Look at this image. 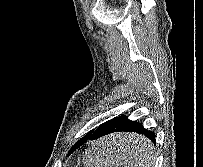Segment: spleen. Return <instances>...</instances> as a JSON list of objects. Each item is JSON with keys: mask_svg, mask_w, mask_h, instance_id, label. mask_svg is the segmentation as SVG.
<instances>
[{"mask_svg": "<svg viewBox=\"0 0 203 167\" xmlns=\"http://www.w3.org/2000/svg\"><path fill=\"white\" fill-rule=\"evenodd\" d=\"M108 140L116 142L115 138L109 137L107 140H104V142L99 141L92 144V147L86 152L83 158L85 167H133L137 162L140 164L138 167L152 166L154 150L151 143L145 137L132 136L129 139V142L141 146L139 151L135 154V161L124 160L119 150L109 148ZM143 147H146V150L142 149Z\"/></svg>", "mask_w": 203, "mask_h": 167, "instance_id": "1", "label": "spleen"}]
</instances>
